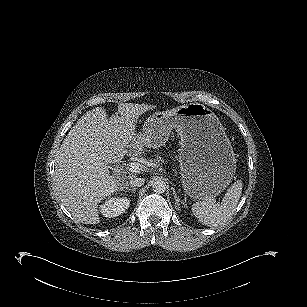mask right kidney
Here are the masks:
<instances>
[{
    "instance_id": "ca27d5eb",
    "label": "right kidney",
    "mask_w": 307,
    "mask_h": 307,
    "mask_svg": "<svg viewBox=\"0 0 307 307\" xmlns=\"http://www.w3.org/2000/svg\"><path fill=\"white\" fill-rule=\"evenodd\" d=\"M130 206L126 197H111L100 205V212L104 217L114 218L123 214Z\"/></svg>"
}]
</instances>
